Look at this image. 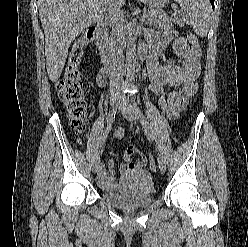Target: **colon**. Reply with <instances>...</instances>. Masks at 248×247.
Masks as SVG:
<instances>
[{
	"label": "colon",
	"instance_id": "obj_1",
	"mask_svg": "<svg viewBox=\"0 0 248 247\" xmlns=\"http://www.w3.org/2000/svg\"><path fill=\"white\" fill-rule=\"evenodd\" d=\"M94 39V27H90L77 38L68 55L64 74L56 85L58 97L66 107L70 125L78 134L85 131L88 115L84 84L78 71V64L81 61L84 47ZM188 40L190 44L198 45V39L195 35H189ZM158 104L161 113L168 116L169 101L165 93L160 95ZM148 164L151 171L155 172L156 162L151 153L148 155Z\"/></svg>",
	"mask_w": 248,
	"mask_h": 247
}]
</instances>
